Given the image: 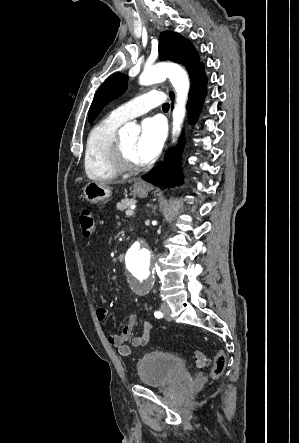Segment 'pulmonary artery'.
Masks as SVG:
<instances>
[{
    "label": "pulmonary artery",
    "instance_id": "e3ab8cb5",
    "mask_svg": "<svg viewBox=\"0 0 299 443\" xmlns=\"http://www.w3.org/2000/svg\"><path fill=\"white\" fill-rule=\"evenodd\" d=\"M165 100L164 93L155 90L149 91L115 108L110 116L125 122L163 104Z\"/></svg>",
    "mask_w": 299,
    "mask_h": 443
}]
</instances>
